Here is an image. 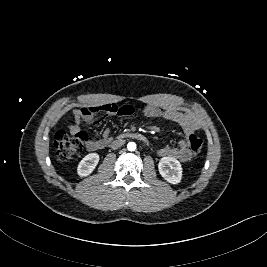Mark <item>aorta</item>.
<instances>
[{"label":"aorta","mask_w":267,"mask_h":267,"mask_svg":"<svg viewBox=\"0 0 267 267\" xmlns=\"http://www.w3.org/2000/svg\"><path fill=\"white\" fill-rule=\"evenodd\" d=\"M127 149H128L129 151H135V150H136V143H134V142H129V143L127 144Z\"/></svg>","instance_id":"obj_1"}]
</instances>
